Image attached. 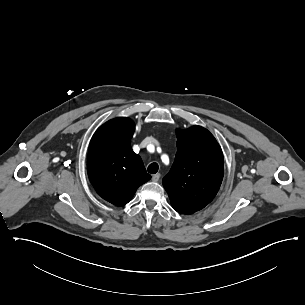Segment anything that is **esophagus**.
<instances>
[{"mask_svg": "<svg viewBox=\"0 0 305 305\" xmlns=\"http://www.w3.org/2000/svg\"><path fill=\"white\" fill-rule=\"evenodd\" d=\"M159 179H160V174L159 173L152 176V181H154V182H157Z\"/></svg>", "mask_w": 305, "mask_h": 305, "instance_id": "esophagus-1", "label": "esophagus"}]
</instances>
